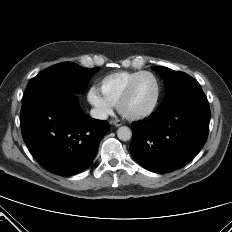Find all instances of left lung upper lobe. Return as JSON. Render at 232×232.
I'll return each instance as SVG.
<instances>
[{"instance_id": "left-lung-upper-lobe-1", "label": "left lung upper lobe", "mask_w": 232, "mask_h": 232, "mask_svg": "<svg viewBox=\"0 0 232 232\" xmlns=\"http://www.w3.org/2000/svg\"><path fill=\"white\" fill-rule=\"evenodd\" d=\"M155 70L163 78L167 89L165 99L160 106L167 104L188 91L200 88L199 83L186 73L174 71L162 66L155 67Z\"/></svg>"}]
</instances>
